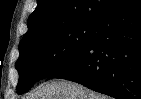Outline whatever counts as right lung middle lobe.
<instances>
[{
    "label": "right lung middle lobe",
    "mask_w": 141,
    "mask_h": 99,
    "mask_svg": "<svg viewBox=\"0 0 141 99\" xmlns=\"http://www.w3.org/2000/svg\"><path fill=\"white\" fill-rule=\"evenodd\" d=\"M99 21H80L20 43L18 94L69 63L93 38Z\"/></svg>",
    "instance_id": "dd1d6c3e"
}]
</instances>
